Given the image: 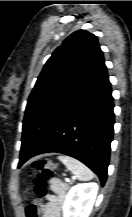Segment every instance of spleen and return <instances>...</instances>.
Listing matches in <instances>:
<instances>
[{
    "label": "spleen",
    "instance_id": "obj_1",
    "mask_svg": "<svg viewBox=\"0 0 132 217\" xmlns=\"http://www.w3.org/2000/svg\"><path fill=\"white\" fill-rule=\"evenodd\" d=\"M60 160L80 181H89L94 178V173L82 162L66 155L58 156Z\"/></svg>",
    "mask_w": 132,
    "mask_h": 217
}]
</instances>
